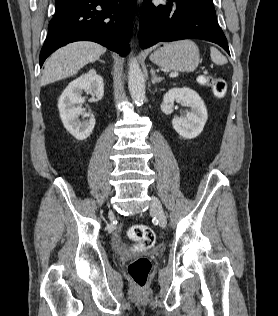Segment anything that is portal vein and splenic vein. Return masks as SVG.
<instances>
[{
    "instance_id": "obj_1",
    "label": "portal vein and splenic vein",
    "mask_w": 278,
    "mask_h": 316,
    "mask_svg": "<svg viewBox=\"0 0 278 316\" xmlns=\"http://www.w3.org/2000/svg\"><path fill=\"white\" fill-rule=\"evenodd\" d=\"M177 76H178L177 72L170 73V75H169L170 78H175Z\"/></svg>"
}]
</instances>
